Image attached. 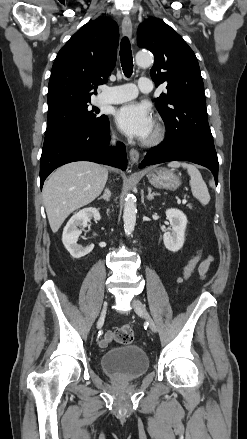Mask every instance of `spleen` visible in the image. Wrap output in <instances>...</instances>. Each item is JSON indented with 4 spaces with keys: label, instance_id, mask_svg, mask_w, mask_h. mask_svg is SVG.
<instances>
[{
    "label": "spleen",
    "instance_id": "obj_1",
    "mask_svg": "<svg viewBox=\"0 0 247 439\" xmlns=\"http://www.w3.org/2000/svg\"><path fill=\"white\" fill-rule=\"evenodd\" d=\"M168 167L178 168L183 167L187 169L188 174L190 175V187L193 196L199 200L202 205H207L210 202V195L208 192V188L206 183L204 182L201 173L192 164H188L185 162L173 161L168 163Z\"/></svg>",
    "mask_w": 247,
    "mask_h": 439
}]
</instances>
